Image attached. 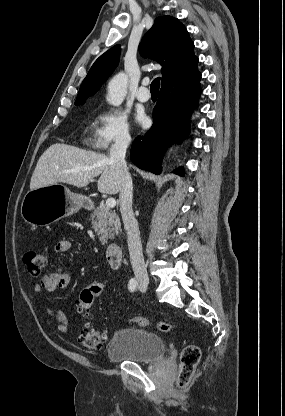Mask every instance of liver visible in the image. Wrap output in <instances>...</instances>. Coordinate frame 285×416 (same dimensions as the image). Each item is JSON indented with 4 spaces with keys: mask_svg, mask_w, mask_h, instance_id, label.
Segmentation results:
<instances>
[{
    "mask_svg": "<svg viewBox=\"0 0 285 416\" xmlns=\"http://www.w3.org/2000/svg\"><path fill=\"white\" fill-rule=\"evenodd\" d=\"M124 174V170L109 162L105 154L87 152L66 144H53L40 156L32 174L30 190L52 186L57 182L86 188L93 178L100 176L98 192L118 194Z\"/></svg>",
    "mask_w": 285,
    "mask_h": 416,
    "instance_id": "1",
    "label": "liver"
}]
</instances>
